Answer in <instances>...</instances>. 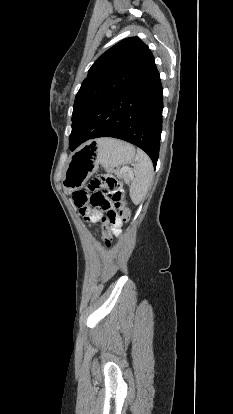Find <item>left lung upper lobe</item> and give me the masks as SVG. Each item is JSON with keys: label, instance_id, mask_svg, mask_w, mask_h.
Masks as SVG:
<instances>
[{"label": "left lung upper lobe", "instance_id": "obj_1", "mask_svg": "<svg viewBox=\"0 0 233 414\" xmlns=\"http://www.w3.org/2000/svg\"><path fill=\"white\" fill-rule=\"evenodd\" d=\"M153 66L150 49L138 37L126 38L108 49L91 66L76 95L72 122L129 87Z\"/></svg>", "mask_w": 233, "mask_h": 414}]
</instances>
